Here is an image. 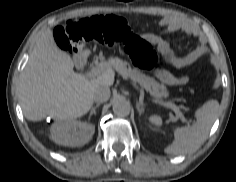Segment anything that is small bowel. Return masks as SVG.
<instances>
[{"instance_id":"obj_1","label":"small bowel","mask_w":236,"mask_h":182,"mask_svg":"<svg viewBox=\"0 0 236 182\" xmlns=\"http://www.w3.org/2000/svg\"><path fill=\"white\" fill-rule=\"evenodd\" d=\"M160 23L165 28L164 33H174L178 31H182L187 34L193 33L192 28L187 22L175 16H166L161 20ZM141 37L149 44L155 45L157 47V50L162 54L165 60L175 68H182L191 65L198 59H200L205 53V45L202 42L185 56L178 57L170 48L169 43L160 35L154 33H146ZM188 81V76L180 77L177 80L179 84H186L188 83Z\"/></svg>"}]
</instances>
